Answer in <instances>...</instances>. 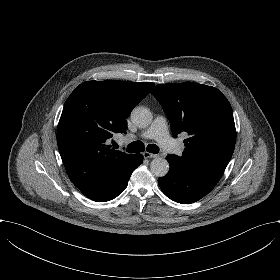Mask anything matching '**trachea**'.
Returning a JSON list of instances; mask_svg holds the SVG:
<instances>
[{"instance_id":"trachea-1","label":"trachea","mask_w":280,"mask_h":280,"mask_svg":"<svg viewBox=\"0 0 280 280\" xmlns=\"http://www.w3.org/2000/svg\"><path fill=\"white\" fill-rule=\"evenodd\" d=\"M146 149L148 152L153 154H157L159 152V147L155 144H149ZM144 150L145 146L142 141H134L130 143L127 147V151L130 153L143 152Z\"/></svg>"}]
</instances>
